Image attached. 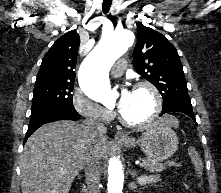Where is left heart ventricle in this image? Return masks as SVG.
Masks as SVG:
<instances>
[{
    "label": "left heart ventricle",
    "instance_id": "left-heart-ventricle-1",
    "mask_svg": "<svg viewBox=\"0 0 221 193\" xmlns=\"http://www.w3.org/2000/svg\"><path fill=\"white\" fill-rule=\"evenodd\" d=\"M154 99L146 89L132 90L130 100L121 113L130 121L146 119L153 111Z\"/></svg>",
    "mask_w": 221,
    "mask_h": 193
}]
</instances>
